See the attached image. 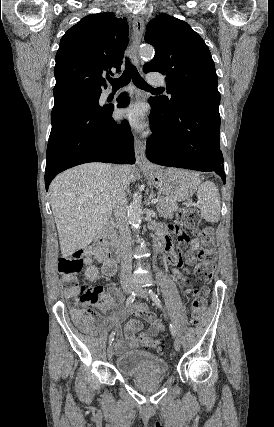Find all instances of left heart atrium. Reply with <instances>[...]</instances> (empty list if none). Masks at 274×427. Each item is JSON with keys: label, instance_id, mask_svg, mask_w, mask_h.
Returning <instances> with one entry per match:
<instances>
[{"label": "left heart atrium", "instance_id": "1", "mask_svg": "<svg viewBox=\"0 0 274 427\" xmlns=\"http://www.w3.org/2000/svg\"><path fill=\"white\" fill-rule=\"evenodd\" d=\"M118 117L136 129H141L144 124V111L140 104H132L118 111Z\"/></svg>", "mask_w": 274, "mask_h": 427}]
</instances>
